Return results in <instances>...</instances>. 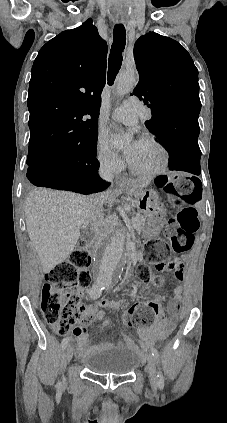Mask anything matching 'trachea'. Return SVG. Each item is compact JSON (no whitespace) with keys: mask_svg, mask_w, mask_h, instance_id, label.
I'll return each mask as SVG.
<instances>
[{"mask_svg":"<svg viewBox=\"0 0 227 423\" xmlns=\"http://www.w3.org/2000/svg\"><path fill=\"white\" fill-rule=\"evenodd\" d=\"M113 37L114 39L108 60L107 81L109 85H113L116 75L122 65V52L126 44V31L122 23L115 25Z\"/></svg>","mask_w":227,"mask_h":423,"instance_id":"1","label":"trachea"}]
</instances>
